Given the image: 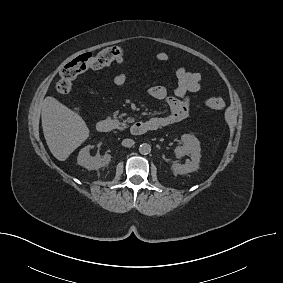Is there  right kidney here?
Wrapping results in <instances>:
<instances>
[{
    "label": "right kidney",
    "instance_id": "ca27d5eb",
    "mask_svg": "<svg viewBox=\"0 0 283 283\" xmlns=\"http://www.w3.org/2000/svg\"><path fill=\"white\" fill-rule=\"evenodd\" d=\"M89 150L90 146H86L79 152L77 163L80 166L88 170H97L110 162L111 156L109 154H105L104 156H91Z\"/></svg>",
    "mask_w": 283,
    "mask_h": 283
}]
</instances>
